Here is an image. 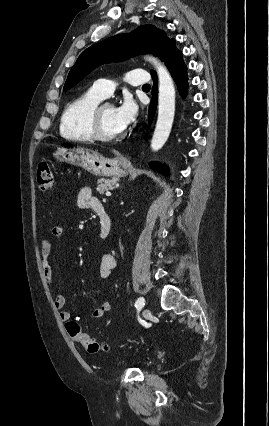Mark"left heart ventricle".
Returning a JSON list of instances; mask_svg holds the SVG:
<instances>
[{"mask_svg": "<svg viewBox=\"0 0 269 426\" xmlns=\"http://www.w3.org/2000/svg\"><path fill=\"white\" fill-rule=\"evenodd\" d=\"M102 131L107 136H118L123 132L115 118V109L112 106L103 108L100 116Z\"/></svg>", "mask_w": 269, "mask_h": 426, "instance_id": "obj_1", "label": "left heart ventricle"}]
</instances>
